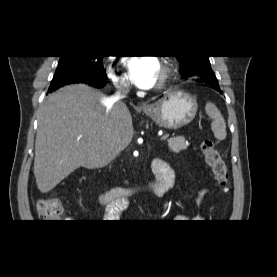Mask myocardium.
Segmentation results:
<instances>
[{
  "label": "myocardium",
  "mask_w": 277,
  "mask_h": 277,
  "mask_svg": "<svg viewBox=\"0 0 277 277\" xmlns=\"http://www.w3.org/2000/svg\"><path fill=\"white\" fill-rule=\"evenodd\" d=\"M171 77V70L167 65L161 66V75L159 77V81L156 85V89H162L166 86L169 79Z\"/></svg>",
  "instance_id": "1"
}]
</instances>
